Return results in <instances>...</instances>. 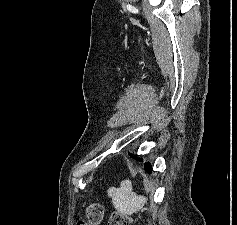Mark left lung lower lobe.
Listing matches in <instances>:
<instances>
[{"instance_id": "obj_1", "label": "left lung lower lobe", "mask_w": 237, "mask_h": 225, "mask_svg": "<svg viewBox=\"0 0 237 225\" xmlns=\"http://www.w3.org/2000/svg\"><path fill=\"white\" fill-rule=\"evenodd\" d=\"M130 156L132 157V155L130 154ZM139 161H142L141 159H139ZM144 168H145V171L147 172V173H151V164L150 163H145L144 164Z\"/></svg>"}]
</instances>
